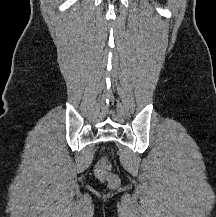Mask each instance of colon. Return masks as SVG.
I'll return each mask as SVG.
<instances>
[{"label": "colon", "instance_id": "colon-1", "mask_svg": "<svg viewBox=\"0 0 216 217\" xmlns=\"http://www.w3.org/2000/svg\"><path fill=\"white\" fill-rule=\"evenodd\" d=\"M95 175L101 182L107 183L110 186H116L119 182L118 177L112 173L111 166L105 157H102L95 168Z\"/></svg>", "mask_w": 216, "mask_h": 217}]
</instances>
